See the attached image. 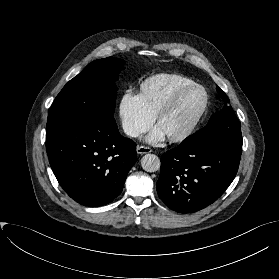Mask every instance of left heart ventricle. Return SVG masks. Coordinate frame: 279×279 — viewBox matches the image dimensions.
<instances>
[{
    "mask_svg": "<svg viewBox=\"0 0 279 279\" xmlns=\"http://www.w3.org/2000/svg\"><path fill=\"white\" fill-rule=\"evenodd\" d=\"M204 101V93L200 89L189 92L177 107L158 125L166 136L176 135L185 130L192 122Z\"/></svg>",
    "mask_w": 279,
    "mask_h": 279,
    "instance_id": "1",
    "label": "left heart ventricle"
}]
</instances>
